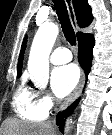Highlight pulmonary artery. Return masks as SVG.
I'll return each mask as SVG.
<instances>
[{
    "label": "pulmonary artery",
    "mask_w": 112,
    "mask_h": 135,
    "mask_svg": "<svg viewBox=\"0 0 112 135\" xmlns=\"http://www.w3.org/2000/svg\"><path fill=\"white\" fill-rule=\"evenodd\" d=\"M72 59L71 52L64 47L56 48L50 55V62L60 65L69 62Z\"/></svg>",
    "instance_id": "pulmonary-artery-1"
}]
</instances>
